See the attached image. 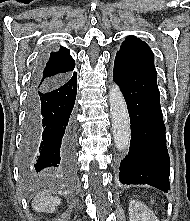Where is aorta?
<instances>
[{
	"mask_svg": "<svg viewBox=\"0 0 190 221\" xmlns=\"http://www.w3.org/2000/svg\"><path fill=\"white\" fill-rule=\"evenodd\" d=\"M109 103L115 145L118 150H125L131 138L130 119L125 99L115 84L109 91Z\"/></svg>",
	"mask_w": 190,
	"mask_h": 221,
	"instance_id": "obj_1",
	"label": "aorta"
}]
</instances>
